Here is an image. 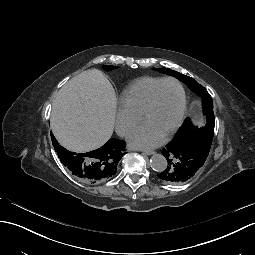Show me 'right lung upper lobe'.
Returning <instances> with one entry per match:
<instances>
[{"label": "right lung upper lobe", "mask_w": 255, "mask_h": 255, "mask_svg": "<svg viewBox=\"0 0 255 255\" xmlns=\"http://www.w3.org/2000/svg\"><path fill=\"white\" fill-rule=\"evenodd\" d=\"M51 139L55 151L64 166L77 178L88 183H102L112 178L117 172V165L120 158L125 154L126 143L123 140L110 139L99 149L77 154L59 145L53 135H51ZM86 155H91L100 160V176L98 178L85 179L83 177V157Z\"/></svg>", "instance_id": "cb5924a9"}]
</instances>
